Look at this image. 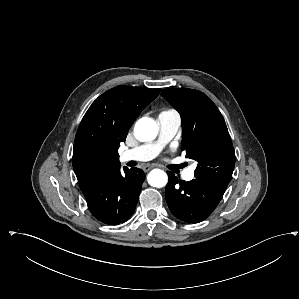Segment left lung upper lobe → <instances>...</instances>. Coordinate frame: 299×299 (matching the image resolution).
Returning a JSON list of instances; mask_svg holds the SVG:
<instances>
[{
    "label": "left lung upper lobe",
    "instance_id": "left-lung-upper-lobe-1",
    "mask_svg": "<svg viewBox=\"0 0 299 299\" xmlns=\"http://www.w3.org/2000/svg\"><path fill=\"white\" fill-rule=\"evenodd\" d=\"M162 96L180 113L186 158L198 162L194 175L223 191L235 166V153L223 116L204 93L193 89H164Z\"/></svg>",
    "mask_w": 299,
    "mask_h": 299
}]
</instances>
